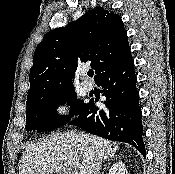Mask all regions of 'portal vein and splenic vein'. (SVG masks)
Instances as JSON below:
<instances>
[{"label":"portal vein and splenic vein","instance_id":"obj_1","mask_svg":"<svg viewBox=\"0 0 175 174\" xmlns=\"http://www.w3.org/2000/svg\"><path fill=\"white\" fill-rule=\"evenodd\" d=\"M70 163H73L74 165H77L78 167H80V172L79 174H86L85 170L83 169L82 165L79 163V160L75 157H70L68 158Z\"/></svg>","mask_w":175,"mask_h":174}]
</instances>
